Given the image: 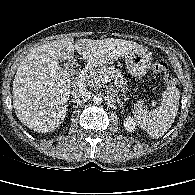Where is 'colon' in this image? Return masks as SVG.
<instances>
[{
  "mask_svg": "<svg viewBox=\"0 0 195 195\" xmlns=\"http://www.w3.org/2000/svg\"><path fill=\"white\" fill-rule=\"evenodd\" d=\"M155 73L162 74L167 85L173 86L177 83L176 78L170 73V65L163 58H155L152 64Z\"/></svg>",
  "mask_w": 195,
  "mask_h": 195,
  "instance_id": "5ec220e1",
  "label": "colon"
}]
</instances>
